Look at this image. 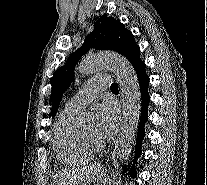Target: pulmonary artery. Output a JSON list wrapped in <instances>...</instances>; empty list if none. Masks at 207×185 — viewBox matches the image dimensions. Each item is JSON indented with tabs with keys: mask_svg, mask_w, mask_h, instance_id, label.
<instances>
[{
	"mask_svg": "<svg viewBox=\"0 0 207 185\" xmlns=\"http://www.w3.org/2000/svg\"><path fill=\"white\" fill-rule=\"evenodd\" d=\"M106 82H111V77H96V81H88V86H81V92L67 102L66 109L73 112L83 109L97 93L105 90Z\"/></svg>",
	"mask_w": 207,
	"mask_h": 185,
	"instance_id": "1",
	"label": "pulmonary artery"
}]
</instances>
